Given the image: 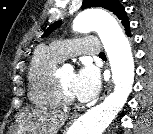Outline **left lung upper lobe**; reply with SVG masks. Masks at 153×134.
<instances>
[{"label":"left lung upper lobe","instance_id":"obj_1","mask_svg":"<svg viewBox=\"0 0 153 134\" xmlns=\"http://www.w3.org/2000/svg\"><path fill=\"white\" fill-rule=\"evenodd\" d=\"M90 7H102L108 9L113 12L121 21L123 26L125 27L126 34L131 36L130 34V25L127 14L123 5L118 0H84L82 4V9L90 8ZM61 25L60 21L54 22L50 25L47 30L44 32L42 37L49 35L52 31L58 28Z\"/></svg>","mask_w":153,"mask_h":134}]
</instances>
